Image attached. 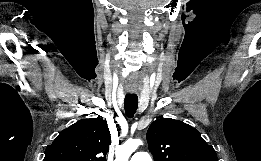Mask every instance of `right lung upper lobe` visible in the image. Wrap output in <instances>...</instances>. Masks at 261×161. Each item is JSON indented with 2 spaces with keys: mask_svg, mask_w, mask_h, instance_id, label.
<instances>
[{
  "mask_svg": "<svg viewBox=\"0 0 261 161\" xmlns=\"http://www.w3.org/2000/svg\"><path fill=\"white\" fill-rule=\"evenodd\" d=\"M110 144L106 119H82L60 132L43 161H106Z\"/></svg>",
  "mask_w": 261,
  "mask_h": 161,
  "instance_id": "1",
  "label": "right lung upper lobe"
}]
</instances>
